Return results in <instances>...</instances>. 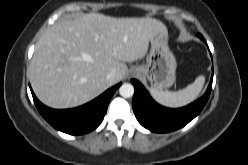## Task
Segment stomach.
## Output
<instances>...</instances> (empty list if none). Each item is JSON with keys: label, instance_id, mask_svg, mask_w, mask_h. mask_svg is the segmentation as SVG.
<instances>
[{"label": "stomach", "instance_id": "obj_1", "mask_svg": "<svg viewBox=\"0 0 248 165\" xmlns=\"http://www.w3.org/2000/svg\"><path fill=\"white\" fill-rule=\"evenodd\" d=\"M150 43L146 64L136 66L134 71L147 78L153 88L161 91L175 83L176 58L168 47L167 32L157 33Z\"/></svg>", "mask_w": 248, "mask_h": 165}]
</instances>
